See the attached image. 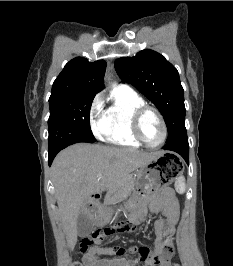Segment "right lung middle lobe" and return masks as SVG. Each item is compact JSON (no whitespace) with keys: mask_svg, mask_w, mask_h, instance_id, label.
<instances>
[{"mask_svg":"<svg viewBox=\"0 0 233 266\" xmlns=\"http://www.w3.org/2000/svg\"><path fill=\"white\" fill-rule=\"evenodd\" d=\"M93 94H79L49 99V152L78 142H95L90 128Z\"/></svg>","mask_w":233,"mask_h":266,"instance_id":"obj_1","label":"right lung middle lobe"}]
</instances>
